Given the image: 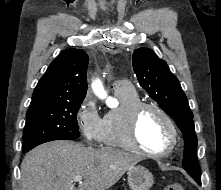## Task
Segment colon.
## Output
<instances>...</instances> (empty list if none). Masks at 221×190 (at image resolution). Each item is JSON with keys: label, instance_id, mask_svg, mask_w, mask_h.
<instances>
[{"label": "colon", "instance_id": "5ec220e1", "mask_svg": "<svg viewBox=\"0 0 221 190\" xmlns=\"http://www.w3.org/2000/svg\"><path fill=\"white\" fill-rule=\"evenodd\" d=\"M164 190H184L183 186L179 183L168 184L164 187Z\"/></svg>", "mask_w": 221, "mask_h": 190}]
</instances>
